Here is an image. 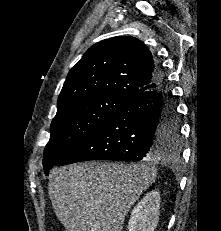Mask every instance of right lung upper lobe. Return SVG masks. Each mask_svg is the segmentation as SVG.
<instances>
[{
	"instance_id": "right-lung-upper-lobe-1",
	"label": "right lung upper lobe",
	"mask_w": 221,
	"mask_h": 231,
	"mask_svg": "<svg viewBox=\"0 0 221 231\" xmlns=\"http://www.w3.org/2000/svg\"><path fill=\"white\" fill-rule=\"evenodd\" d=\"M157 66L146 45L134 37L100 41L69 71L58 97V110L98 95L129 100L156 87Z\"/></svg>"
}]
</instances>
